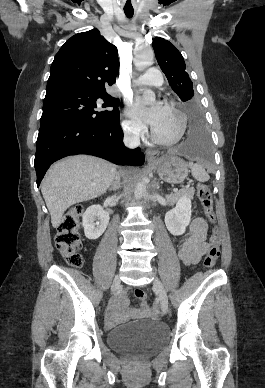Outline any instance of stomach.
Here are the masks:
<instances>
[{
  "mask_svg": "<svg viewBox=\"0 0 265 388\" xmlns=\"http://www.w3.org/2000/svg\"><path fill=\"white\" fill-rule=\"evenodd\" d=\"M159 177L172 184H178L188 176V166L179 157L168 154L151 161Z\"/></svg>",
  "mask_w": 265,
  "mask_h": 388,
  "instance_id": "obj_1",
  "label": "stomach"
}]
</instances>
